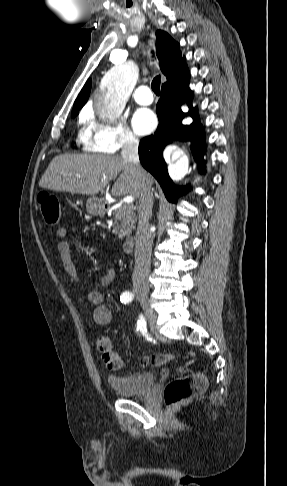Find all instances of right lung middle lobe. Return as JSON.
<instances>
[{
    "label": "right lung middle lobe",
    "instance_id": "dd1d6c3e",
    "mask_svg": "<svg viewBox=\"0 0 287 486\" xmlns=\"http://www.w3.org/2000/svg\"><path fill=\"white\" fill-rule=\"evenodd\" d=\"M78 113H72V116L75 117Z\"/></svg>",
    "mask_w": 287,
    "mask_h": 486
}]
</instances>
